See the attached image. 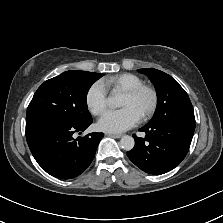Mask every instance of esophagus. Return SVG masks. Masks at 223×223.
I'll return each instance as SVG.
<instances>
[{
    "mask_svg": "<svg viewBox=\"0 0 223 223\" xmlns=\"http://www.w3.org/2000/svg\"><path fill=\"white\" fill-rule=\"evenodd\" d=\"M106 135L108 136V137H112V138H121V135H119V134H113V133H106Z\"/></svg>",
    "mask_w": 223,
    "mask_h": 223,
    "instance_id": "1",
    "label": "esophagus"
}]
</instances>
